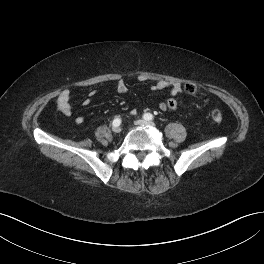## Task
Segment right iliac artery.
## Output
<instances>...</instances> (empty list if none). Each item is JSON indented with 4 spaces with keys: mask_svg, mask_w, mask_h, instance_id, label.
Returning a JSON list of instances; mask_svg holds the SVG:
<instances>
[{
    "mask_svg": "<svg viewBox=\"0 0 264 264\" xmlns=\"http://www.w3.org/2000/svg\"><path fill=\"white\" fill-rule=\"evenodd\" d=\"M121 124V119L120 118H115L114 120H113V122H112V125L114 126V127H117V126H119Z\"/></svg>",
    "mask_w": 264,
    "mask_h": 264,
    "instance_id": "1",
    "label": "right iliac artery"
}]
</instances>
